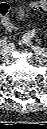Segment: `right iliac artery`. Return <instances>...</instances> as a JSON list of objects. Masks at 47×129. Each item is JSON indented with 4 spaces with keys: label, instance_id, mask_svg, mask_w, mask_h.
I'll return each mask as SVG.
<instances>
[{
    "label": "right iliac artery",
    "instance_id": "obj_1",
    "mask_svg": "<svg viewBox=\"0 0 47 129\" xmlns=\"http://www.w3.org/2000/svg\"><path fill=\"white\" fill-rule=\"evenodd\" d=\"M6 44H7V42H6L5 40H1V41H0V46H1V45H6Z\"/></svg>",
    "mask_w": 47,
    "mask_h": 129
}]
</instances>
